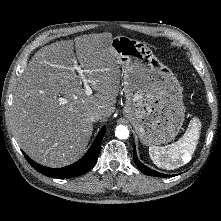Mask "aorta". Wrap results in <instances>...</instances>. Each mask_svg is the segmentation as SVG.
<instances>
[{
	"label": "aorta",
	"instance_id": "1",
	"mask_svg": "<svg viewBox=\"0 0 221 221\" xmlns=\"http://www.w3.org/2000/svg\"><path fill=\"white\" fill-rule=\"evenodd\" d=\"M115 135L119 139H127L129 137V130L125 125H118L115 129Z\"/></svg>",
	"mask_w": 221,
	"mask_h": 221
}]
</instances>
